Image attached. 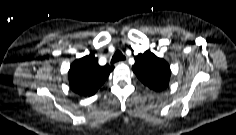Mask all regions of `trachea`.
<instances>
[{
	"instance_id": "1",
	"label": "trachea",
	"mask_w": 236,
	"mask_h": 135,
	"mask_svg": "<svg viewBox=\"0 0 236 135\" xmlns=\"http://www.w3.org/2000/svg\"><path fill=\"white\" fill-rule=\"evenodd\" d=\"M122 60H125V56L121 51H116L111 59V63H116Z\"/></svg>"
}]
</instances>
